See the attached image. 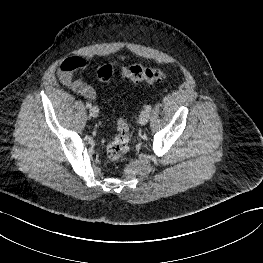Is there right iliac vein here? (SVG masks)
I'll return each instance as SVG.
<instances>
[{
    "label": "right iliac vein",
    "instance_id": "obj_1",
    "mask_svg": "<svg viewBox=\"0 0 263 263\" xmlns=\"http://www.w3.org/2000/svg\"><path fill=\"white\" fill-rule=\"evenodd\" d=\"M89 113L92 117H97L99 114V109L96 106H94L89 110Z\"/></svg>",
    "mask_w": 263,
    "mask_h": 263
}]
</instances>
